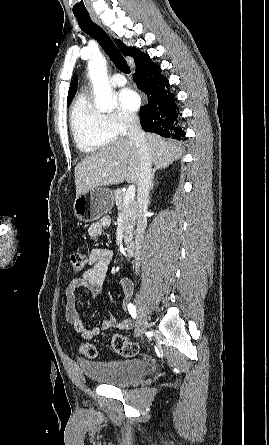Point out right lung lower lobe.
Masks as SVG:
<instances>
[{"label": "right lung lower lobe", "instance_id": "obj_1", "mask_svg": "<svg viewBox=\"0 0 269 445\" xmlns=\"http://www.w3.org/2000/svg\"><path fill=\"white\" fill-rule=\"evenodd\" d=\"M134 81L148 96V104L140 108L143 130L166 138L184 137L186 133L178 125L181 113L176 95L170 90L168 79L161 74L160 66L150 57L146 58L136 65Z\"/></svg>", "mask_w": 269, "mask_h": 445}]
</instances>
